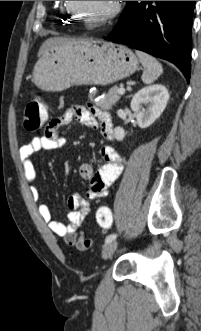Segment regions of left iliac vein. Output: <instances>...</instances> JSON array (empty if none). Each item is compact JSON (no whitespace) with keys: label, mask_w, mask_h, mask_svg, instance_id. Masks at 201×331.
I'll return each mask as SVG.
<instances>
[{"label":"left iliac vein","mask_w":201,"mask_h":331,"mask_svg":"<svg viewBox=\"0 0 201 331\" xmlns=\"http://www.w3.org/2000/svg\"><path fill=\"white\" fill-rule=\"evenodd\" d=\"M117 246H118V242L115 240L107 243L103 248L102 257L104 259L110 258L113 255V253L116 251Z\"/></svg>","instance_id":"1"}]
</instances>
